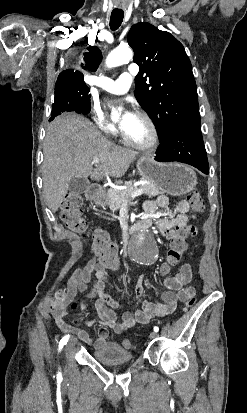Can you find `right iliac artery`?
Returning <instances> with one entry per match:
<instances>
[{
    "mask_svg": "<svg viewBox=\"0 0 247 413\" xmlns=\"http://www.w3.org/2000/svg\"><path fill=\"white\" fill-rule=\"evenodd\" d=\"M69 337H70V335L68 334V335L64 336V337L60 340V342H59V351H61V349L63 348V346L66 345V343H67L68 340H69ZM58 376L61 377V373H60V372L58 373Z\"/></svg>",
    "mask_w": 247,
    "mask_h": 413,
    "instance_id": "obj_1",
    "label": "right iliac artery"
}]
</instances>
